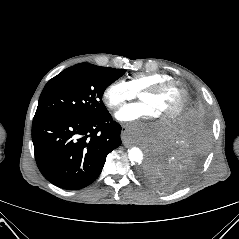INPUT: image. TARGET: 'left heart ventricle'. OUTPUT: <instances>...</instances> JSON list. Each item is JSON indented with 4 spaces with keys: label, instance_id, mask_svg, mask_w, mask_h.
I'll use <instances>...</instances> for the list:
<instances>
[{
    "label": "left heart ventricle",
    "instance_id": "obj_1",
    "mask_svg": "<svg viewBox=\"0 0 239 239\" xmlns=\"http://www.w3.org/2000/svg\"><path fill=\"white\" fill-rule=\"evenodd\" d=\"M140 100L150 107L155 118L163 120L178 108L181 95L177 88L170 87L156 95L143 94Z\"/></svg>",
    "mask_w": 239,
    "mask_h": 239
}]
</instances>
